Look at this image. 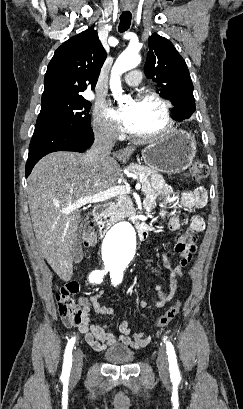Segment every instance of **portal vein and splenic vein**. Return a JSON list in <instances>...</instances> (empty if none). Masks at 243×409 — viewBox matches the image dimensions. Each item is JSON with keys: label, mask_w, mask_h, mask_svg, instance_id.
Wrapping results in <instances>:
<instances>
[{"label": "portal vein and splenic vein", "mask_w": 243, "mask_h": 409, "mask_svg": "<svg viewBox=\"0 0 243 409\" xmlns=\"http://www.w3.org/2000/svg\"><path fill=\"white\" fill-rule=\"evenodd\" d=\"M140 188H141V184L137 183L135 186V189L140 190ZM130 192H131V188L129 184L114 186L105 191H102V192H99V193H96V194H93V195H90L84 198H80L74 204L70 205L66 209H63L62 212L69 213L73 210L81 208L82 206L88 203L103 202L117 195L129 194Z\"/></svg>", "instance_id": "obj_1"}]
</instances>
